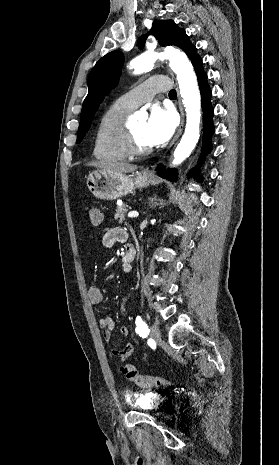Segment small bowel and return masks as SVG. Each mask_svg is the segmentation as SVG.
Masks as SVG:
<instances>
[{
    "mask_svg": "<svg viewBox=\"0 0 279 465\" xmlns=\"http://www.w3.org/2000/svg\"><path fill=\"white\" fill-rule=\"evenodd\" d=\"M128 240V235L126 231L121 228L110 227L106 228L102 234V243L105 247L111 248L116 243L126 242ZM122 269L124 272H128L131 269L130 264H123ZM89 300L92 304H99L103 300V293L98 286H92L88 290ZM122 313L125 317L128 316L125 305L121 307ZM99 326L103 330L104 340L109 342L112 337V331L115 328V321L110 316H105L99 319ZM120 333L124 336L129 334V329L127 326H123L120 329ZM135 351L134 345L132 343H127L123 348H115L112 350V354L116 357H119L122 361L127 360Z\"/></svg>",
    "mask_w": 279,
    "mask_h": 465,
    "instance_id": "obj_1",
    "label": "small bowel"
}]
</instances>
